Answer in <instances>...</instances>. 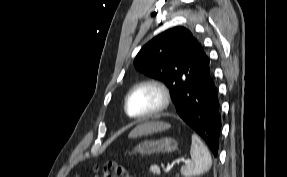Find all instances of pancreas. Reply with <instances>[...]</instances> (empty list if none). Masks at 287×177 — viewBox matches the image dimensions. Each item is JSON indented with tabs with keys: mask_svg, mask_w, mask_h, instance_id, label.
Masks as SVG:
<instances>
[{
	"mask_svg": "<svg viewBox=\"0 0 287 177\" xmlns=\"http://www.w3.org/2000/svg\"><path fill=\"white\" fill-rule=\"evenodd\" d=\"M150 171H151L153 174H159V173H160L159 167H158V166H155V165L151 166Z\"/></svg>",
	"mask_w": 287,
	"mask_h": 177,
	"instance_id": "obj_1",
	"label": "pancreas"
}]
</instances>
